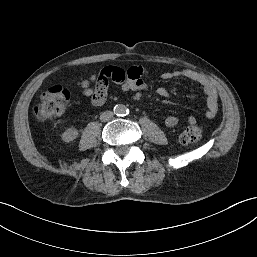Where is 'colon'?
<instances>
[{"label":"colon","instance_id":"5ec220e1","mask_svg":"<svg viewBox=\"0 0 257 257\" xmlns=\"http://www.w3.org/2000/svg\"><path fill=\"white\" fill-rule=\"evenodd\" d=\"M95 86L103 89L108 81L101 76L94 79ZM70 100V93L61 85L48 88L41 96L40 101L34 106L35 116L42 121H48L60 116ZM203 127L201 125L188 126L180 134L179 140L184 145L193 144L201 139Z\"/></svg>","mask_w":257,"mask_h":257}]
</instances>
